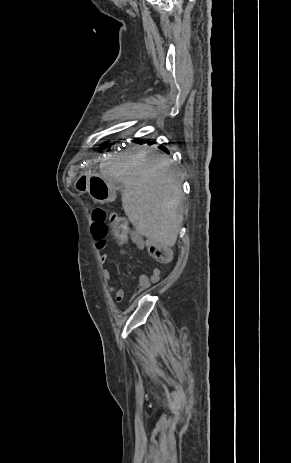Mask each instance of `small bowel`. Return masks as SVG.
<instances>
[{"mask_svg":"<svg viewBox=\"0 0 291 463\" xmlns=\"http://www.w3.org/2000/svg\"><path fill=\"white\" fill-rule=\"evenodd\" d=\"M129 240L132 241L139 249H143L145 247V241L138 234H132V236L129 238ZM127 241H128V239L127 240H119V243L123 244V243H125ZM106 245H107V243H106ZM100 259H101L102 263H108V261H109V257L105 253L101 254ZM160 274H161L160 268H155L150 275L142 273L138 278V285H137L134 297H136V296L140 295L141 293H143L152 284L157 283L160 280ZM103 276L107 280L111 279V277H112L111 269L105 268L103 270ZM108 288H109V291L111 292V294L114 296L115 300L118 303H120V302H122L124 300L126 293H125V290L123 288H117L112 284H109Z\"/></svg>","mask_w":291,"mask_h":463,"instance_id":"small-bowel-1","label":"small bowel"}]
</instances>
